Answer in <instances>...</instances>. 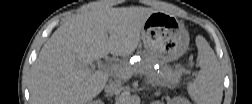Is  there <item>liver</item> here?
Returning a JSON list of instances; mask_svg holds the SVG:
<instances>
[{
    "instance_id": "liver-1",
    "label": "liver",
    "mask_w": 252,
    "mask_h": 104,
    "mask_svg": "<svg viewBox=\"0 0 252 104\" xmlns=\"http://www.w3.org/2000/svg\"><path fill=\"white\" fill-rule=\"evenodd\" d=\"M156 10L108 8L99 3L67 19L43 45L31 70L30 96L38 104H84L105 87L109 75L90 68L107 56L131 55L143 26Z\"/></svg>"
}]
</instances>
